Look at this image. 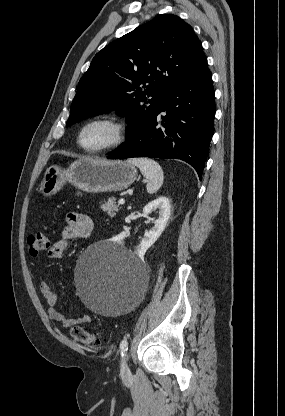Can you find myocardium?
Masks as SVG:
<instances>
[{
  "label": "myocardium",
  "mask_w": 285,
  "mask_h": 416,
  "mask_svg": "<svg viewBox=\"0 0 285 416\" xmlns=\"http://www.w3.org/2000/svg\"><path fill=\"white\" fill-rule=\"evenodd\" d=\"M94 124H105L109 126L112 130L113 137H112L111 142L107 144L106 146L97 148V149H89V148H86L82 144V136L85 130ZM125 139H126L125 128L120 121L109 116H98V117H94L90 119L81 127L77 135V144L80 147V149L86 154L101 155V154L109 153L119 148L124 143Z\"/></svg>",
  "instance_id": "myocardium-1"
}]
</instances>
